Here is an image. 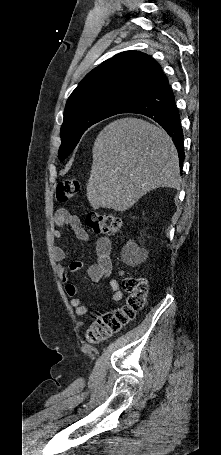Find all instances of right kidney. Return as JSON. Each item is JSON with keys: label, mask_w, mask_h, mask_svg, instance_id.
Here are the masks:
<instances>
[{"label": "right kidney", "mask_w": 221, "mask_h": 455, "mask_svg": "<svg viewBox=\"0 0 221 455\" xmlns=\"http://www.w3.org/2000/svg\"><path fill=\"white\" fill-rule=\"evenodd\" d=\"M145 254L146 252L136 243L129 241L122 249L121 258L126 264L134 265L138 263Z\"/></svg>", "instance_id": "1"}]
</instances>
